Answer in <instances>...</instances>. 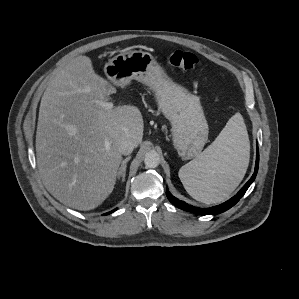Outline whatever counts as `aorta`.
Masks as SVG:
<instances>
[{
	"label": "aorta",
	"instance_id": "1",
	"mask_svg": "<svg viewBox=\"0 0 299 299\" xmlns=\"http://www.w3.org/2000/svg\"><path fill=\"white\" fill-rule=\"evenodd\" d=\"M144 163L148 168H155L160 163L159 154L155 151L146 153Z\"/></svg>",
	"mask_w": 299,
	"mask_h": 299
}]
</instances>
